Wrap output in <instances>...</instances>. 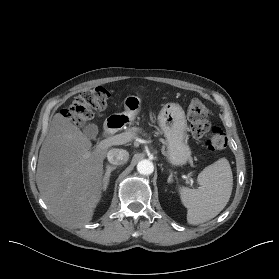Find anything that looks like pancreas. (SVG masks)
Listing matches in <instances>:
<instances>
[{
	"instance_id": "1",
	"label": "pancreas",
	"mask_w": 279,
	"mask_h": 279,
	"mask_svg": "<svg viewBox=\"0 0 279 279\" xmlns=\"http://www.w3.org/2000/svg\"><path fill=\"white\" fill-rule=\"evenodd\" d=\"M138 132H141L139 128L137 127H132L128 130V133L132 136V135H135L137 134Z\"/></svg>"
}]
</instances>
